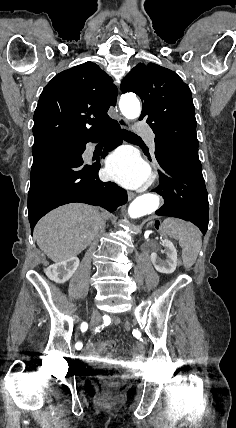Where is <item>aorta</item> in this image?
<instances>
[{
  "label": "aorta",
  "mask_w": 236,
  "mask_h": 428,
  "mask_svg": "<svg viewBox=\"0 0 236 428\" xmlns=\"http://www.w3.org/2000/svg\"><path fill=\"white\" fill-rule=\"evenodd\" d=\"M121 113L127 119H136L140 116L141 106L135 94L122 95L119 102ZM160 205V198L156 194L146 193L137 197L129 206L128 214L136 219L155 212Z\"/></svg>",
  "instance_id": "762f6f07"
}]
</instances>
